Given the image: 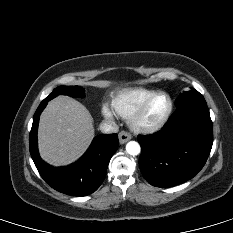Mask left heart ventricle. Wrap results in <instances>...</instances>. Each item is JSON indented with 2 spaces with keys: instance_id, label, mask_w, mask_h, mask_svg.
Segmentation results:
<instances>
[{
  "instance_id": "obj_1",
  "label": "left heart ventricle",
  "mask_w": 233,
  "mask_h": 233,
  "mask_svg": "<svg viewBox=\"0 0 233 233\" xmlns=\"http://www.w3.org/2000/svg\"><path fill=\"white\" fill-rule=\"evenodd\" d=\"M168 106L169 102L167 97H156L145 110L141 118V123L144 125H152L158 122L167 111Z\"/></svg>"
}]
</instances>
